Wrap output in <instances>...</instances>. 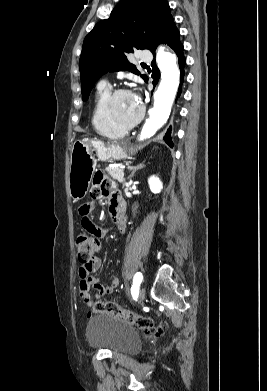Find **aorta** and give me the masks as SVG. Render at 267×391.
Wrapping results in <instances>:
<instances>
[{
  "label": "aorta",
  "mask_w": 267,
  "mask_h": 391,
  "mask_svg": "<svg viewBox=\"0 0 267 391\" xmlns=\"http://www.w3.org/2000/svg\"><path fill=\"white\" fill-rule=\"evenodd\" d=\"M157 61L161 81L154 94V105L149 111V118L141 130L139 140L150 138L166 123L180 82V71L175 54L165 51V48L160 46Z\"/></svg>",
  "instance_id": "1"
}]
</instances>
